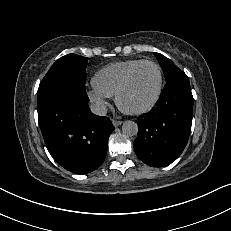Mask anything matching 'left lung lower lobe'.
I'll return each mask as SVG.
<instances>
[{
    "label": "left lung lower lobe",
    "instance_id": "1",
    "mask_svg": "<svg viewBox=\"0 0 231 231\" xmlns=\"http://www.w3.org/2000/svg\"><path fill=\"white\" fill-rule=\"evenodd\" d=\"M192 113L193 96L188 77L182 71L167 80L155 109L137 120V157L152 167L176 160L188 142Z\"/></svg>",
    "mask_w": 231,
    "mask_h": 231
}]
</instances>
